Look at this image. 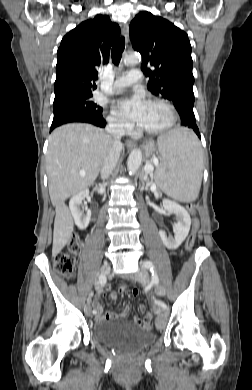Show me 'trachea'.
Masks as SVG:
<instances>
[{
  "mask_svg": "<svg viewBox=\"0 0 252 390\" xmlns=\"http://www.w3.org/2000/svg\"><path fill=\"white\" fill-rule=\"evenodd\" d=\"M125 48V39L121 37L112 47L111 57L115 65H118L122 56V52Z\"/></svg>",
  "mask_w": 252,
  "mask_h": 390,
  "instance_id": "trachea-1",
  "label": "trachea"
}]
</instances>
